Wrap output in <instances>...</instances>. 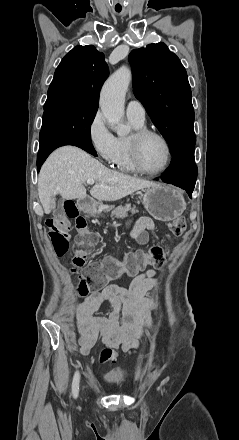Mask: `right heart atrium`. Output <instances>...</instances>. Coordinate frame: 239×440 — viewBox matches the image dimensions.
I'll return each instance as SVG.
<instances>
[{"mask_svg":"<svg viewBox=\"0 0 239 440\" xmlns=\"http://www.w3.org/2000/svg\"><path fill=\"white\" fill-rule=\"evenodd\" d=\"M87 137L95 153L106 163L114 164L119 154V138L109 130L100 110L88 124Z\"/></svg>","mask_w":239,"mask_h":440,"instance_id":"obj_1","label":"right heart atrium"}]
</instances>
